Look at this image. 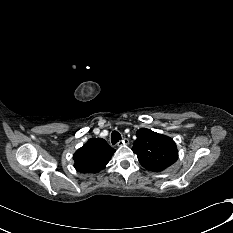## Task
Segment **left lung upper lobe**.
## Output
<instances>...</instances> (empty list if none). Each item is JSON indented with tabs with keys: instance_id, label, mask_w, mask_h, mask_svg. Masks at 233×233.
<instances>
[{
	"instance_id": "5c2ea615",
	"label": "left lung upper lobe",
	"mask_w": 233,
	"mask_h": 233,
	"mask_svg": "<svg viewBox=\"0 0 233 233\" xmlns=\"http://www.w3.org/2000/svg\"><path fill=\"white\" fill-rule=\"evenodd\" d=\"M136 136L132 151L147 170L163 171L178 159L176 143L170 137L146 128L138 130Z\"/></svg>"
}]
</instances>
